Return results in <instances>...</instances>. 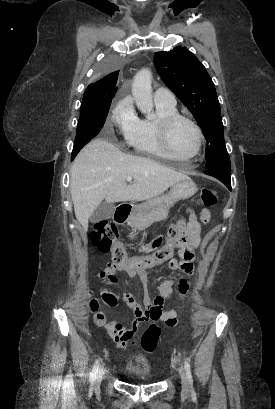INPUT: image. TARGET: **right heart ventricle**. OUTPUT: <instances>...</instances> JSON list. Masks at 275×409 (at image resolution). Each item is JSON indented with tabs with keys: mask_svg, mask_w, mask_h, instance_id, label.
Masks as SVG:
<instances>
[{
	"mask_svg": "<svg viewBox=\"0 0 275 409\" xmlns=\"http://www.w3.org/2000/svg\"><path fill=\"white\" fill-rule=\"evenodd\" d=\"M157 116L154 119L139 120L130 140L135 154L148 157H169L163 149L159 124L168 117L178 115L176 108L156 106Z\"/></svg>",
	"mask_w": 275,
	"mask_h": 409,
	"instance_id": "e07e8e85",
	"label": "right heart ventricle"
}]
</instances>
